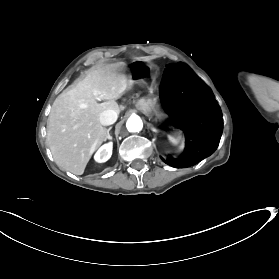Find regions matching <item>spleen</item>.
<instances>
[{"label": "spleen", "instance_id": "3e777b00", "mask_svg": "<svg viewBox=\"0 0 279 279\" xmlns=\"http://www.w3.org/2000/svg\"><path fill=\"white\" fill-rule=\"evenodd\" d=\"M168 139L173 145H178L180 142V138L173 135H168Z\"/></svg>", "mask_w": 279, "mask_h": 279}]
</instances>
